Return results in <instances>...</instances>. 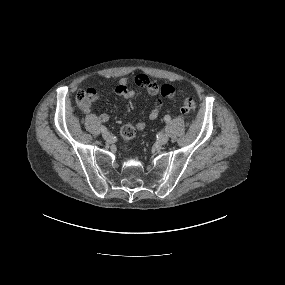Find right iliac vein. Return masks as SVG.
<instances>
[{"mask_svg": "<svg viewBox=\"0 0 285 285\" xmlns=\"http://www.w3.org/2000/svg\"><path fill=\"white\" fill-rule=\"evenodd\" d=\"M102 136L105 140H110L112 138V134L108 131L103 132Z\"/></svg>", "mask_w": 285, "mask_h": 285, "instance_id": "63e3f726", "label": "right iliac vein"}]
</instances>
